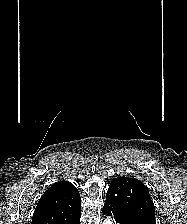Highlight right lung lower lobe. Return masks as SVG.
Listing matches in <instances>:
<instances>
[{
    "label": "right lung lower lobe",
    "instance_id": "right-lung-lower-lobe-1",
    "mask_svg": "<svg viewBox=\"0 0 187 224\" xmlns=\"http://www.w3.org/2000/svg\"><path fill=\"white\" fill-rule=\"evenodd\" d=\"M67 224H80V213L75 215Z\"/></svg>",
    "mask_w": 187,
    "mask_h": 224
}]
</instances>
